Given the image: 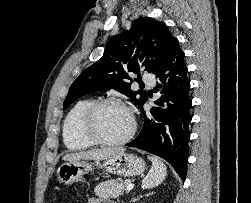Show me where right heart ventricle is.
Here are the masks:
<instances>
[{
    "label": "right heart ventricle",
    "instance_id": "right-heart-ventricle-1",
    "mask_svg": "<svg viewBox=\"0 0 251 203\" xmlns=\"http://www.w3.org/2000/svg\"><path fill=\"white\" fill-rule=\"evenodd\" d=\"M92 102V99L79 100L71 107L64 118L62 137L65 146L70 150H86L94 145L82 134L80 127L82 115Z\"/></svg>",
    "mask_w": 251,
    "mask_h": 203
}]
</instances>
